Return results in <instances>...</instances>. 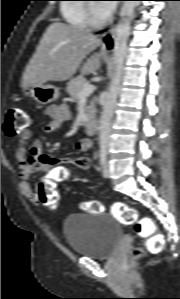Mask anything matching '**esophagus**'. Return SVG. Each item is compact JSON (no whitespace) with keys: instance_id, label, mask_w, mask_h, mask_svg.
<instances>
[{"instance_id":"obj_1","label":"esophagus","mask_w":180,"mask_h":299,"mask_svg":"<svg viewBox=\"0 0 180 299\" xmlns=\"http://www.w3.org/2000/svg\"><path fill=\"white\" fill-rule=\"evenodd\" d=\"M115 29L116 25H112L109 30L105 33L102 39V47L105 51L110 52L113 50L115 45Z\"/></svg>"}]
</instances>
